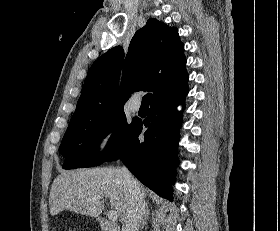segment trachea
Wrapping results in <instances>:
<instances>
[{
  "label": "trachea",
  "mask_w": 280,
  "mask_h": 231,
  "mask_svg": "<svg viewBox=\"0 0 280 231\" xmlns=\"http://www.w3.org/2000/svg\"><path fill=\"white\" fill-rule=\"evenodd\" d=\"M151 99V93H147L142 99V105H149Z\"/></svg>",
  "instance_id": "1"
}]
</instances>
